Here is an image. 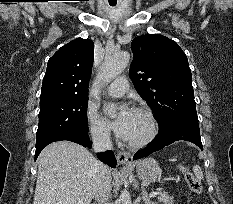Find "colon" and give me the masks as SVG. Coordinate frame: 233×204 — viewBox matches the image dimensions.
<instances>
[{"mask_svg": "<svg viewBox=\"0 0 233 204\" xmlns=\"http://www.w3.org/2000/svg\"><path fill=\"white\" fill-rule=\"evenodd\" d=\"M180 171L183 173L186 183L189 189L195 194H201L202 184L201 182L192 174V172L185 166H180Z\"/></svg>", "mask_w": 233, "mask_h": 204, "instance_id": "colon-1", "label": "colon"}]
</instances>
